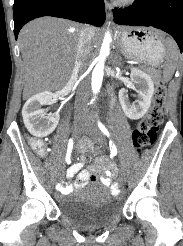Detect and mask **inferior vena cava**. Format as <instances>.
Segmentation results:
<instances>
[{"label": "inferior vena cava", "mask_w": 183, "mask_h": 246, "mask_svg": "<svg viewBox=\"0 0 183 246\" xmlns=\"http://www.w3.org/2000/svg\"><path fill=\"white\" fill-rule=\"evenodd\" d=\"M93 37V28L91 26H85L81 30L79 40H78V49L76 53L75 66L73 73H78L79 71H84L87 63V57L89 54V45ZM88 106V92L87 84L81 83L76 100L75 107L77 109H86Z\"/></svg>", "instance_id": "inferior-vena-cava-1"}]
</instances>
